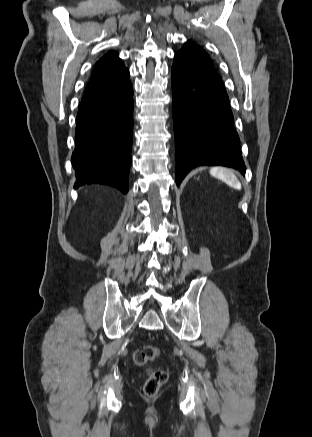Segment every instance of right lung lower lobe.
Segmentation results:
<instances>
[{"instance_id":"98d812e1","label":"right lung lower lobe","mask_w":312,"mask_h":437,"mask_svg":"<svg viewBox=\"0 0 312 437\" xmlns=\"http://www.w3.org/2000/svg\"><path fill=\"white\" fill-rule=\"evenodd\" d=\"M74 187L103 184L128 191L133 126L129 72L119 82L82 99L76 118Z\"/></svg>"}]
</instances>
